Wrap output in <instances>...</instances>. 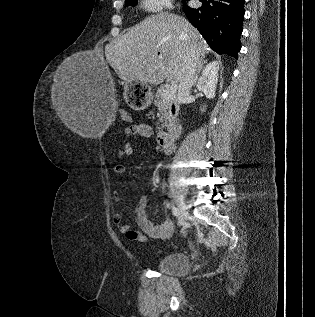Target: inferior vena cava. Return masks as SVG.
Listing matches in <instances>:
<instances>
[{
    "instance_id": "1",
    "label": "inferior vena cava",
    "mask_w": 315,
    "mask_h": 317,
    "mask_svg": "<svg viewBox=\"0 0 315 317\" xmlns=\"http://www.w3.org/2000/svg\"><path fill=\"white\" fill-rule=\"evenodd\" d=\"M199 65V57L191 55L186 60V66L183 75L179 79V87L177 93V103H184L188 98L194 83L195 74Z\"/></svg>"
}]
</instances>
